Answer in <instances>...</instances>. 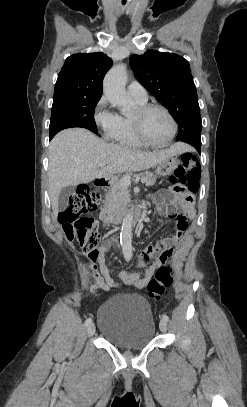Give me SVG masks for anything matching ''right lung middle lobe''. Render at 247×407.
Instances as JSON below:
<instances>
[{"mask_svg":"<svg viewBox=\"0 0 247 407\" xmlns=\"http://www.w3.org/2000/svg\"><path fill=\"white\" fill-rule=\"evenodd\" d=\"M100 98L64 96L53 99L50 136L70 127H83L97 134L94 110Z\"/></svg>","mask_w":247,"mask_h":407,"instance_id":"dd1d6c3e","label":"right lung middle lobe"}]
</instances>
